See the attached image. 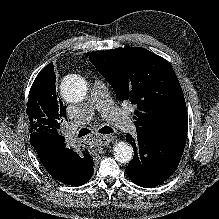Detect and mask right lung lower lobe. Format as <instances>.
I'll list each match as a JSON object with an SVG mask.
<instances>
[{"label": "right lung lower lobe", "mask_w": 219, "mask_h": 219, "mask_svg": "<svg viewBox=\"0 0 219 219\" xmlns=\"http://www.w3.org/2000/svg\"><path fill=\"white\" fill-rule=\"evenodd\" d=\"M35 148L46 170L60 182L81 186L92 177L93 161L88 151L77 153L67 148L64 141L55 139L41 140ZM57 160H62L66 165L65 173L56 172Z\"/></svg>", "instance_id": "98d812e1"}]
</instances>
